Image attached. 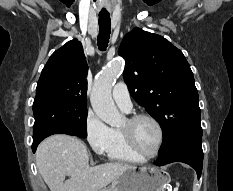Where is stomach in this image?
I'll return each instance as SVG.
<instances>
[{
	"label": "stomach",
	"instance_id": "1",
	"mask_svg": "<svg viewBox=\"0 0 233 191\" xmlns=\"http://www.w3.org/2000/svg\"><path fill=\"white\" fill-rule=\"evenodd\" d=\"M170 176L154 166H132L114 180L108 188L100 191H163Z\"/></svg>",
	"mask_w": 233,
	"mask_h": 191
}]
</instances>
